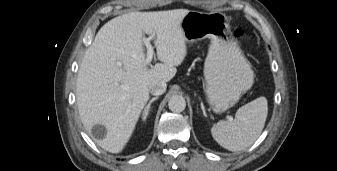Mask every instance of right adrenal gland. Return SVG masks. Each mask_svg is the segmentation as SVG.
<instances>
[{"mask_svg": "<svg viewBox=\"0 0 337 171\" xmlns=\"http://www.w3.org/2000/svg\"><path fill=\"white\" fill-rule=\"evenodd\" d=\"M157 99H158V97L152 98V99L149 101V103L147 104V106L144 108V111H143V114H142V120H143V121L146 120V118H147V116H148V114H149L151 104H152L155 100H157Z\"/></svg>", "mask_w": 337, "mask_h": 171, "instance_id": "2a0ac1e0", "label": "right adrenal gland"}]
</instances>
